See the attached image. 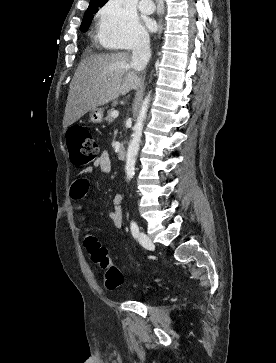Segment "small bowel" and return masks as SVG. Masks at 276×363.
Returning a JSON list of instances; mask_svg holds the SVG:
<instances>
[{"instance_id": "small-bowel-1", "label": "small bowel", "mask_w": 276, "mask_h": 363, "mask_svg": "<svg viewBox=\"0 0 276 363\" xmlns=\"http://www.w3.org/2000/svg\"><path fill=\"white\" fill-rule=\"evenodd\" d=\"M95 169H99L103 173H108L110 171L111 161L106 152L102 153L92 166L82 169L74 176L69 188V194L72 200L81 202L86 198L89 191V180L86 175L92 173ZM122 201L123 196L121 194H116L112 200L113 210L108 212V217L116 228H121L123 224L121 208ZM88 234L91 233L87 232L86 235Z\"/></svg>"}]
</instances>
